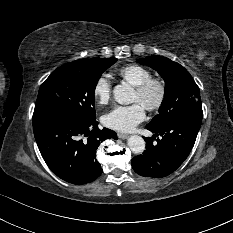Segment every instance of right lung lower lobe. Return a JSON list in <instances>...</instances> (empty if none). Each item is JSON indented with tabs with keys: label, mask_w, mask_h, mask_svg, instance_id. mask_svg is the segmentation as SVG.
Wrapping results in <instances>:
<instances>
[{
	"label": "right lung lower lobe",
	"mask_w": 233,
	"mask_h": 233,
	"mask_svg": "<svg viewBox=\"0 0 233 233\" xmlns=\"http://www.w3.org/2000/svg\"><path fill=\"white\" fill-rule=\"evenodd\" d=\"M94 119L55 113L33 114V131L40 153L51 171L72 184L97 179L101 165L96 150L105 139H117L110 129L98 128Z\"/></svg>",
	"instance_id": "right-lung-lower-lobe-1"
}]
</instances>
